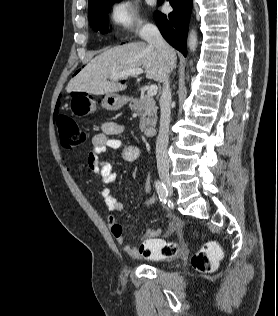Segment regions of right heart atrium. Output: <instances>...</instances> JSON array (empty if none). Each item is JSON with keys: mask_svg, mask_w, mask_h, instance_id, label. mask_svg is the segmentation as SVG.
<instances>
[{"mask_svg": "<svg viewBox=\"0 0 278 316\" xmlns=\"http://www.w3.org/2000/svg\"><path fill=\"white\" fill-rule=\"evenodd\" d=\"M109 19L114 29L121 35H137L149 27L141 17L135 0H116L111 6Z\"/></svg>", "mask_w": 278, "mask_h": 316, "instance_id": "1", "label": "right heart atrium"}]
</instances>
